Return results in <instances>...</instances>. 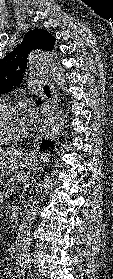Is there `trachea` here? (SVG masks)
Listing matches in <instances>:
<instances>
[{
  "label": "trachea",
  "instance_id": "3493384b",
  "mask_svg": "<svg viewBox=\"0 0 113 279\" xmlns=\"http://www.w3.org/2000/svg\"><path fill=\"white\" fill-rule=\"evenodd\" d=\"M44 89H48V90H49V87H48V86H45Z\"/></svg>",
  "mask_w": 113,
  "mask_h": 279
}]
</instances>
